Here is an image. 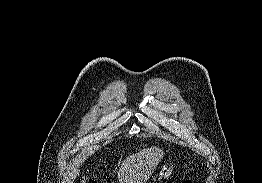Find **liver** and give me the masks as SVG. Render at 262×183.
<instances>
[{
    "instance_id": "1",
    "label": "liver",
    "mask_w": 262,
    "mask_h": 183,
    "mask_svg": "<svg viewBox=\"0 0 262 183\" xmlns=\"http://www.w3.org/2000/svg\"><path fill=\"white\" fill-rule=\"evenodd\" d=\"M164 152L159 147L140 150L129 155L121 164L118 171L120 183H146L159 162Z\"/></svg>"
}]
</instances>
